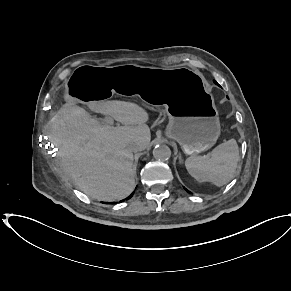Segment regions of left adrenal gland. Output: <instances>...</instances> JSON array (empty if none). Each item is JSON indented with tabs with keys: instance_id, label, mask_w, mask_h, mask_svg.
Segmentation results:
<instances>
[{
	"instance_id": "1",
	"label": "left adrenal gland",
	"mask_w": 291,
	"mask_h": 291,
	"mask_svg": "<svg viewBox=\"0 0 291 291\" xmlns=\"http://www.w3.org/2000/svg\"><path fill=\"white\" fill-rule=\"evenodd\" d=\"M179 158H180V161L182 162V160H181V156H180Z\"/></svg>"
}]
</instances>
